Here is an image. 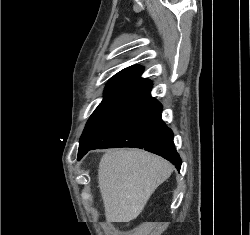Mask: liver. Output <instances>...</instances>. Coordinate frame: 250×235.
<instances>
[{
	"instance_id": "obj_1",
	"label": "liver",
	"mask_w": 250,
	"mask_h": 235,
	"mask_svg": "<svg viewBox=\"0 0 250 235\" xmlns=\"http://www.w3.org/2000/svg\"><path fill=\"white\" fill-rule=\"evenodd\" d=\"M172 172L169 162L146 151H108L102 156L98 169L106 220L130 222L137 218L155 189Z\"/></svg>"
}]
</instances>
